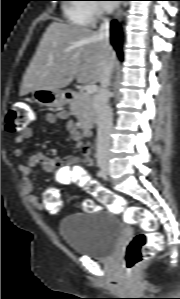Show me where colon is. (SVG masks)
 Masks as SVG:
<instances>
[{
  "instance_id": "obj_1",
  "label": "colon",
  "mask_w": 180,
  "mask_h": 299,
  "mask_svg": "<svg viewBox=\"0 0 180 299\" xmlns=\"http://www.w3.org/2000/svg\"><path fill=\"white\" fill-rule=\"evenodd\" d=\"M35 119L33 108L26 103H14L8 109L6 116V130L16 132L26 128ZM74 179L71 180V182ZM81 187L93 195L103 206L115 213H123L125 222L130 225H138L142 232L135 234L129 241L123 261L128 269L140 264L155 252L164 248L163 236L157 232L158 223L153 213L140 206H128L125 199L101 186L97 181L86 175L77 177ZM44 208L49 213H58L62 207L60 193L55 188H49L44 193ZM85 212L98 210L99 206L91 199L81 203Z\"/></svg>"
}]
</instances>
